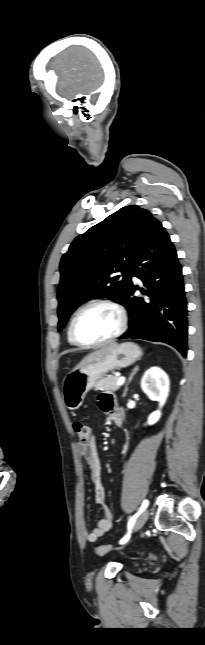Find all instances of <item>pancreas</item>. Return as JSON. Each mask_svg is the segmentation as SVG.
Instances as JSON below:
<instances>
[{
	"mask_svg": "<svg viewBox=\"0 0 205 645\" xmlns=\"http://www.w3.org/2000/svg\"><path fill=\"white\" fill-rule=\"evenodd\" d=\"M119 376H108L96 382L94 388L95 390L114 392L117 391L120 387L118 386Z\"/></svg>",
	"mask_w": 205,
	"mask_h": 645,
	"instance_id": "obj_1",
	"label": "pancreas"
}]
</instances>
